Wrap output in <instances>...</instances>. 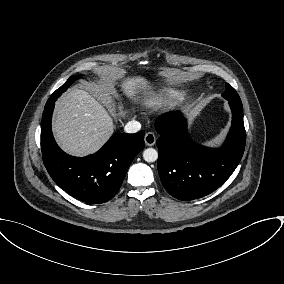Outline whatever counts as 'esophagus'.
<instances>
[{"instance_id": "1", "label": "esophagus", "mask_w": 284, "mask_h": 284, "mask_svg": "<svg viewBox=\"0 0 284 284\" xmlns=\"http://www.w3.org/2000/svg\"><path fill=\"white\" fill-rule=\"evenodd\" d=\"M145 144L147 146H153L156 142V136L153 132L146 133L144 137Z\"/></svg>"}]
</instances>
